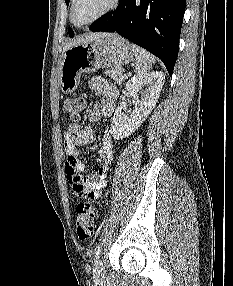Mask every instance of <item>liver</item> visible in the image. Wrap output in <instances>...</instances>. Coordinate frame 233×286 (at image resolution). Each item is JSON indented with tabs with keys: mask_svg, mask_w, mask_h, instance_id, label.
Wrapping results in <instances>:
<instances>
[{
	"mask_svg": "<svg viewBox=\"0 0 233 286\" xmlns=\"http://www.w3.org/2000/svg\"><path fill=\"white\" fill-rule=\"evenodd\" d=\"M102 35H105V33H94V34H90V35H87V36H85V37H82V38H80V39H76V40L72 41L68 46H66V47L64 48V50L66 51V50L69 49L70 47L76 46V45H78V44L85 43V42H87V41H91V40H93V39H95V38H98V37H100V36H102Z\"/></svg>",
	"mask_w": 233,
	"mask_h": 286,
	"instance_id": "liver-1",
	"label": "liver"
}]
</instances>
